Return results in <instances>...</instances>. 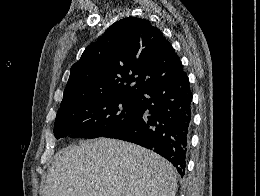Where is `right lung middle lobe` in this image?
<instances>
[{
  "label": "right lung middle lobe",
  "instance_id": "right-lung-middle-lobe-1",
  "mask_svg": "<svg viewBox=\"0 0 260 196\" xmlns=\"http://www.w3.org/2000/svg\"><path fill=\"white\" fill-rule=\"evenodd\" d=\"M141 117L137 97L100 94L58 110L54 135L57 139L103 137Z\"/></svg>",
  "mask_w": 260,
  "mask_h": 196
}]
</instances>
